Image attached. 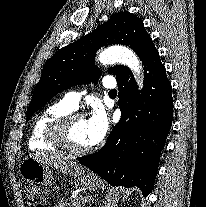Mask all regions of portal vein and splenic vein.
I'll use <instances>...</instances> for the list:
<instances>
[{
  "instance_id": "18ae733b",
  "label": "portal vein and splenic vein",
  "mask_w": 206,
  "mask_h": 207,
  "mask_svg": "<svg viewBox=\"0 0 206 207\" xmlns=\"http://www.w3.org/2000/svg\"><path fill=\"white\" fill-rule=\"evenodd\" d=\"M82 201H83V202H86V201H87V199H82Z\"/></svg>"
}]
</instances>
